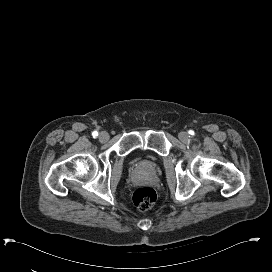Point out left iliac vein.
I'll return each mask as SVG.
<instances>
[{
  "label": "left iliac vein",
  "instance_id": "1",
  "mask_svg": "<svg viewBox=\"0 0 272 272\" xmlns=\"http://www.w3.org/2000/svg\"><path fill=\"white\" fill-rule=\"evenodd\" d=\"M179 139L183 142V143H186L189 141L190 139V136L188 135L187 132H180L179 135H178Z\"/></svg>",
  "mask_w": 272,
  "mask_h": 272
}]
</instances>
